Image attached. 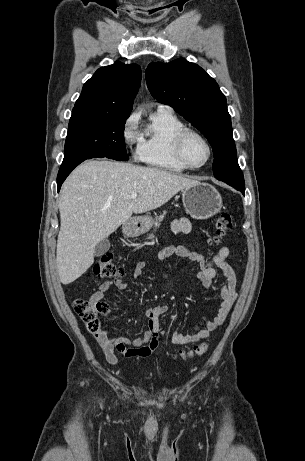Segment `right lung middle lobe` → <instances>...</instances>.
I'll return each mask as SVG.
<instances>
[{"mask_svg": "<svg viewBox=\"0 0 305 461\" xmlns=\"http://www.w3.org/2000/svg\"><path fill=\"white\" fill-rule=\"evenodd\" d=\"M128 116L72 111L65 142L63 167L90 158L128 160L124 124Z\"/></svg>", "mask_w": 305, "mask_h": 461, "instance_id": "obj_1", "label": "right lung middle lobe"}]
</instances>
